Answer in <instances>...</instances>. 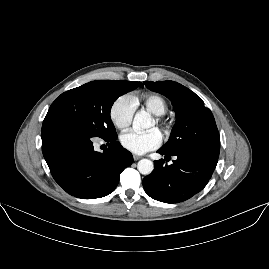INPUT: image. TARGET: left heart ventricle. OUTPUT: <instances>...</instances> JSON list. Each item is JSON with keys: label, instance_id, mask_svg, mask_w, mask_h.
<instances>
[{"label": "left heart ventricle", "instance_id": "b2bd125f", "mask_svg": "<svg viewBox=\"0 0 269 269\" xmlns=\"http://www.w3.org/2000/svg\"><path fill=\"white\" fill-rule=\"evenodd\" d=\"M155 125H156V121H155V123H154L153 127H154ZM153 127H152V128H153Z\"/></svg>", "mask_w": 269, "mask_h": 269}]
</instances>
